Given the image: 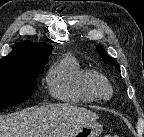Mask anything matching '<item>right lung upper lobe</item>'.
<instances>
[{
	"label": "right lung upper lobe",
	"mask_w": 144,
	"mask_h": 137,
	"mask_svg": "<svg viewBox=\"0 0 144 137\" xmlns=\"http://www.w3.org/2000/svg\"><path fill=\"white\" fill-rule=\"evenodd\" d=\"M52 47L43 43L24 42L13 46L12 52L0 60V66L48 62Z\"/></svg>",
	"instance_id": "cb5924a9"
}]
</instances>
